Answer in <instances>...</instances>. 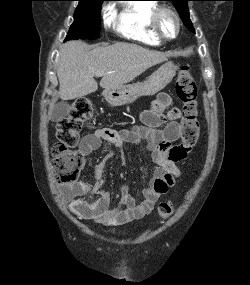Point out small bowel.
<instances>
[{
	"instance_id": "obj_1",
	"label": "small bowel",
	"mask_w": 250,
	"mask_h": 285,
	"mask_svg": "<svg viewBox=\"0 0 250 285\" xmlns=\"http://www.w3.org/2000/svg\"><path fill=\"white\" fill-rule=\"evenodd\" d=\"M169 103V96L160 94L153 103V109L143 112L142 125L121 130L101 128L84 136L79 147L82 155H89L99 149L103 142H109L121 152L122 160L125 159L123 153L125 144H139L141 141H146L155 167L148 185L142 190L143 200L136 203L127 188L122 186L119 205L114 208L110 206L109 192L103 189L105 160L100 162L96 168L94 183L79 181L62 184L61 193L68 200L70 210L75 215L104 225H119L142 219L152 212L160 196L175 185L176 179L181 175L177 162L186 157L189 149L171 145L180 137L181 127L176 121L178 117L176 110L167 114L160 112ZM163 124L165 127L160 130ZM89 193L97 195L98 198L92 202L82 198Z\"/></svg>"
}]
</instances>
